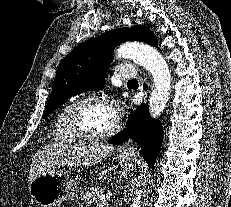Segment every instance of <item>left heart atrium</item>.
Segmentation results:
<instances>
[{
	"mask_svg": "<svg viewBox=\"0 0 231 207\" xmlns=\"http://www.w3.org/2000/svg\"><path fill=\"white\" fill-rule=\"evenodd\" d=\"M110 108L112 110V113L114 114V116H118L120 114V105L117 102H114L110 105Z\"/></svg>",
	"mask_w": 231,
	"mask_h": 207,
	"instance_id": "obj_1",
	"label": "left heart atrium"
}]
</instances>
